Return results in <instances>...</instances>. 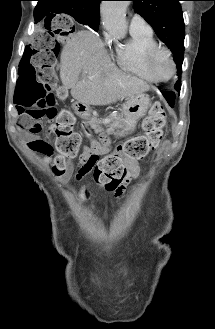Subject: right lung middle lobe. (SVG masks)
I'll use <instances>...</instances> for the list:
<instances>
[{
  "instance_id": "right-lung-middle-lobe-1",
  "label": "right lung middle lobe",
  "mask_w": 215,
  "mask_h": 329,
  "mask_svg": "<svg viewBox=\"0 0 215 329\" xmlns=\"http://www.w3.org/2000/svg\"><path fill=\"white\" fill-rule=\"evenodd\" d=\"M64 11H65V14H69L77 22H79L81 24H84V25H88L93 30L98 31L99 22H90V21H87L80 13L75 12V11H72V10H69V9H65Z\"/></svg>"
}]
</instances>
